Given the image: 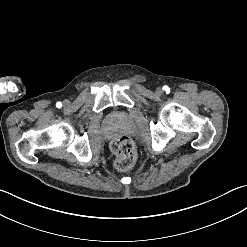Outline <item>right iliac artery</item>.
<instances>
[{"mask_svg": "<svg viewBox=\"0 0 247 247\" xmlns=\"http://www.w3.org/2000/svg\"><path fill=\"white\" fill-rule=\"evenodd\" d=\"M56 106H57V108H61L62 107V103L61 102H57Z\"/></svg>", "mask_w": 247, "mask_h": 247, "instance_id": "82829eb1", "label": "right iliac artery"}]
</instances>
